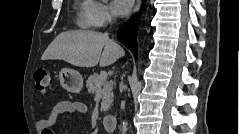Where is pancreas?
<instances>
[{
    "mask_svg": "<svg viewBox=\"0 0 239 134\" xmlns=\"http://www.w3.org/2000/svg\"><path fill=\"white\" fill-rule=\"evenodd\" d=\"M88 92L95 94L98 90L101 94V111H107L113 100V83L108 81H101L98 74H93L86 81Z\"/></svg>",
    "mask_w": 239,
    "mask_h": 134,
    "instance_id": "1",
    "label": "pancreas"
}]
</instances>
